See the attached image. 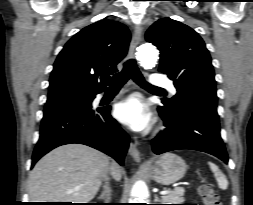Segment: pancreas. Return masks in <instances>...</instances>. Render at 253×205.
<instances>
[{"label": "pancreas", "instance_id": "obj_1", "mask_svg": "<svg viewBox=\"0 0 253 205\" xmlns=\"http://www.w3.org/2000/svg\"><path fill=\"white\" fill-rule=\"evenodd\" d=\"M184 192V189L177 188L162 196L161 201L166 204H182V202H184Z\"/></svg>", "mask_w": 253, "mask_h": 205}]
</instances>
